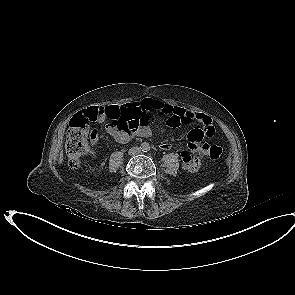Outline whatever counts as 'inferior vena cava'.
Returning <instances> with one entry per match:
<instances>
[{
  "label": "inferior vena cava",
  "instance_id": "obj_1",
  "mask_svg": "<svg viewBox=\"0 0 295 295\" xmlns=\"http://www.w3.org/2000/svg\"><path fill=\"white\" fill-rule=\"evenodd\" d=\"M140 148L139 147H133V148H131V149H129V154L130 155H136V154H138V153H140Z\"/></svg>",
  "mask_w": 295,
  "mask_h": 295
}]
</instances>
